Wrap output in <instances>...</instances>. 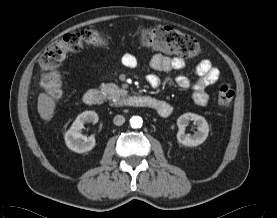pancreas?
<instances>
[{"mask_svg":"<svg viewBox=\"0 0 277 218\" xmlns=\"http://www.w3.org/2000/svg\"><path fill=\"white\" fill-rule=\"evenodd\" d=\"M101 90L110 100H119L121 98H125L128 94L127 90L124 88H119L116 84L113 83L101 84Z\"/></svg>","mask_w":277,"mask_h":218,"instance_id":"cf45deb5","label":"pancreas"}]
</instances>
